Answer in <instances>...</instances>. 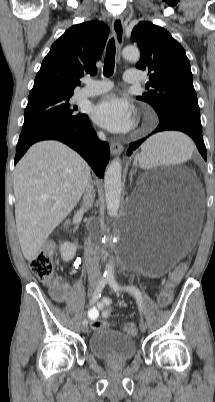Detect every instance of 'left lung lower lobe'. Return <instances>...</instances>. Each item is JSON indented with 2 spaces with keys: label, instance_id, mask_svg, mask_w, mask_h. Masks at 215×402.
Instances as JSON below:
<instances>
[{
  "label": "left lung lower lobe",
  "instance_id": "obj_1",
  "mask_svg": "<svg viewBox=\"0 0 215 402\" xmlns=\"http://www.w3.org/2000/svg\"><path fill=\"white\" fill-rule=\"evenodd\" d=\"M159 117V124L156 127V129L149 135L151 136L152 134L162 132V131H168V130H178L182 131L186 134H188L196 143L199 152L203 156L205 160H207L206 156V147L203 141V136H202V126L199 120L177 114V113H171L168 115L164 116H158ZM147 137L142 138L136 142H133L130 144V147L127 151V154L130 155L133 150H135L140 144H142Z\"/></svg>",
  "mask_w": 215,
  "mask_h": 402
}]
</instances>
